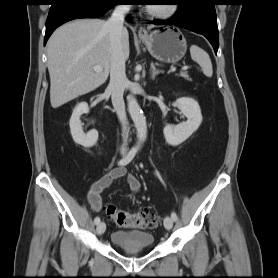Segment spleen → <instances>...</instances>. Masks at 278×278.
I'll return each mask as SVG.
<instances>
[{
    "label": "spleen",
    "instance_id": "obj_1",
    "mask_svg": "<svg viewBox=\"0 0 278 278\" xmlns=\"http://www.w3.org/2000/svg\"><path fill=\"white\" fill-rule=\"evenodd\" d=\"M190 54L191 58L200 65L204 75L211 77L213 74V69L210 57L207 52L196 45H192L190 48Z\"/></svg>",
    "mask_w": 278,
    "mask_h": 278
}]
</instances>
